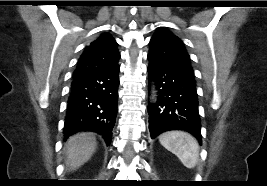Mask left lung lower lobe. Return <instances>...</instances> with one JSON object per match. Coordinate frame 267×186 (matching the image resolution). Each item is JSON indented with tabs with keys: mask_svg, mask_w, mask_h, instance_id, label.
<instances>
[{
	"mask_svg": "<svg viewBox=\"0 0 267 186\" xmlns=\"http://www.w3.org/2000/svg\"><path fill=\"white\" fill-rule=\"evenodd\" d=\"M148 59L149 79L158 90L157 102L148 107L151 138L169 130H184L201 143L195 79L149 55Z\"/></svg>",
	"mask_w": 267,
	"mask_h": 186,
	"instance_id": "obj_1",
	"label": "left lung lower lobe"
}]
</instances>
